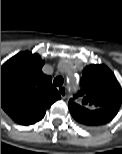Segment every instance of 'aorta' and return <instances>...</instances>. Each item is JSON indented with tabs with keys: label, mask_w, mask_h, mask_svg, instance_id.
I'll return each instance as SVG.
<instances>
[{
	"label": "aorta",
	"mask_w": 122,
	"mask_h": 154,
	"mask_svg": "<svg viewBox=\"0 0 122 154\" xmlns=\"http://www.w3.org/2000/svg\"><path fill=\"white\" fill-rule=\"evenodd\" d=\"M67 75L69 78V84L71 86V88H75L78 84L77 79L73 76V74L71 73L70 69L67 71Z\"/></svg>",
	"instance_id": "obj_1"
}]
</instances>
